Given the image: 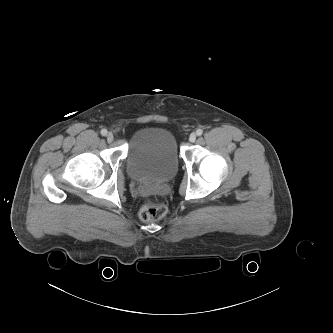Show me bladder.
Returning <instances> with one entry per match:
<instances>
[{
    "instance_id": "1",
    "label": "bladder",
    "mask_w": 333,
    "mask_h": 333,
    "mask_svg": "<svg viewBox=\"0 0 333 333\" xmlns=\"http://www.w3.org/2000/svg\"><path fill=\"white\" fill-rule=\"evenodd\" d=\"M179 167L176 137L164 126H146L131 137L127 149L126 169L137 181L164 182Z\"/></svg>"
}]
</instances>
